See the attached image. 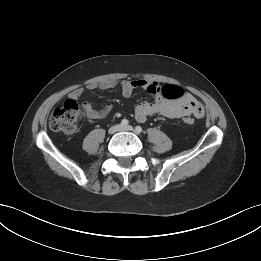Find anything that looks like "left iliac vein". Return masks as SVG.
<instances>
[{
  "label": "left iliac vein",
  "mask_w": 261,
  "mask_h": 261,
  "mask_svg": "<svg viewBox=\"0 0 261 261\" xmlns=\"http://www.w3.org/2000/svg\"><path fill=\"white\" fill-rule=\"evenodd\" d=\"M132 130H133V128L130 125L121 127V129H120V131H132Z\"/></svg>",
  "instance_id": "4c4485c4"
}]
</instances>
